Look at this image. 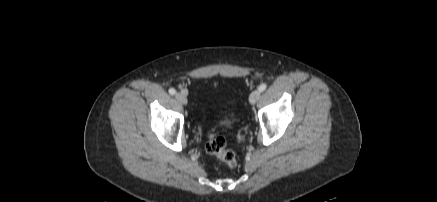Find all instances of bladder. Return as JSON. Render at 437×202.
I'll list each match as a JSON object with an SVG mask.
<instances>
[{"instance_id":"obj_1","label":"bladder","mask_w":437,"mask_h":202,"mask_svg":"<svg viewBox=\"0 0 437 202\" xmlns=\"http://www.w3.org/2000/svg\"><path fill=\"white\" fill-rule=\"evenodd\" d=\"M222 125L226 128H230L233 125V118H226L222 121Z\"/></svg>"}]
</instances>
